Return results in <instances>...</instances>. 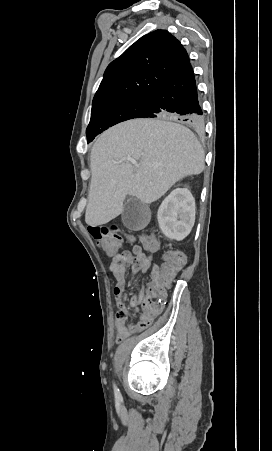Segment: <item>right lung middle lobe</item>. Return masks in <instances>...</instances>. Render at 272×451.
I'll use <instances>...</instances> for the list:
<instances>
[{"label":"right lung middle lobe","mask_w":272,"mask_h":451,"mask_svg":"<svg viewBox=\"0 0 272 451\" xmlns=\"http://www.w3.org/2000/svg\"><path fill=\"white\" fill-rule=\"evenodd\" d=\"M149 100L150 96L121 97L93 106L86 130L88 143L109 127L136 118L146 109Z\"/></svg>","instance_id":"obj_1"}]
</instances>
